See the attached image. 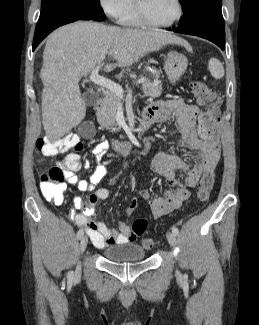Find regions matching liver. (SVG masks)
Instances as JSON below:
<instances>
[{
  "instance_id": "1",
  "label": "liver",
  "mask_w": 259,
  "mask_h": 325,
  "mask_svg": "<svg viewBox=\"0 0 259 325\" xmlns=\"http://www.w3.org/2000/svg\"><path fill=\"white\" fill-rule=\"evenodd\" d=\"M167 44L188 47L185 40L161 30H138L78 21L60 27L47 39L40 78L42 123L51 141H57L81 123L86 104L79 81L98 65L106 72L136 63ZM111 56L116 63L104 64Z\"/></svg>"
}]
</instances>
